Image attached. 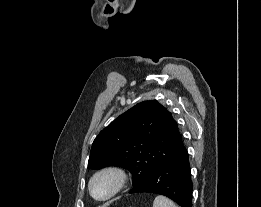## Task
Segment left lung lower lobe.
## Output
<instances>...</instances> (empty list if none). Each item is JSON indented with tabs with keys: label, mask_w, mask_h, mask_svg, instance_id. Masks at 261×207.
Masks as SVG:
<instances>
[{
	"label": "left lung lower lobe",
	"mask_w": 261,
	"mask_h": 207,
	"mask_svg": "<svg viewBox=\"0 0 261 207\" xmlns=\"http://www.w3.org/2000/svg\"><path fill=\"white\" fill-rule=\"evenodd\" d=\"M192 190L189 154L183 144L174 157L136 184L129 193L160 194L181 207H192Z\"/></svg>",
	"instance_id": "1"
}]
</instances>
